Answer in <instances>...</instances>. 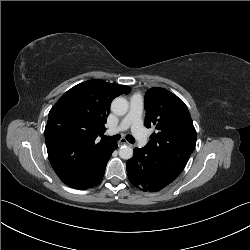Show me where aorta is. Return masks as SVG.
<instances>
[{"label":"aorta","instance_id":"aorta-1","mask_svg":"<svg viewBox=\"0 0 250 250\" xmlns=\"http://www.w3.org/2000/svg\"><path fill=\"white\" fill-rule=\"evenodd\" d=\"M128 107V101L123 97H117L111 103V111L118 116L125 115ZM119 156L124 160H128L133 157V149L129 146H122L119 149Z\"/></svg>","mask_w":250,"mask_h":250}]
</instances>
